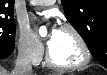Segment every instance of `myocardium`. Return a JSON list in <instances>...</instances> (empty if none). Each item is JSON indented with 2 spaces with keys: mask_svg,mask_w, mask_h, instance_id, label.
<instances>
[{
  "mask_svg": "<svg viewBox=\"0 0 107 75\" xmlns=\"http://www.w3.org/2000/svg\"><path fill=\"white\" fill-rule=\"evenodd\" d=\"M60 30L68 31L71 34H73V36L76 38V40L78 41V43L81 47L83 57H82L81 61L76 64L61 65V64L56 63L53 60L50 50H48L47 55H46L47 65L49 67H51L52 69L60 70V71H71V70H77V69H81V68L85 67L90 62L91 51H90V48H89L85 38L83 37V35L78 31V29L76 27H74L71 24L62 25L60 27Z\"/></svg>",
  "mask_w": 107,
  "mask_h": 75,
  "instance_id": "myocardium-1",
  "label": "myocardium"
}]
</instances>
